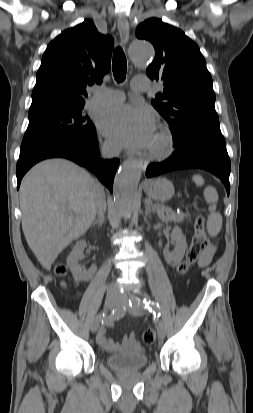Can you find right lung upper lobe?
Instances as JSON below:
<instances>
[{
	"label": "right lung upper lobe",
	"instance_id": "1",
	"mask_svg": "<svg viewBox=\"0 0 253 413\" xmlns=\"http://www.w3.org/2000/svg\"><path fill=\"white\" fill-rule=\"evenodd\" d=\"M112 49V37L89 19L63 31L43 54L29 112L85 104L86 87L110 70Z\"/></svg>",
	"mask_w": 253,
	"mask_h": 413
}]
</instances>
